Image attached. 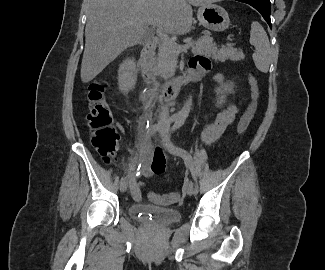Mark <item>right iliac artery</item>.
Masks as SVG:
<instances>
[{
    "label": "right iliac artery",
    "mask_w": 325,
    "mask_h": 270,
    "mask_svg": "<svg viewBox=\"0 0 325 270\" xmlns=\"http://www.w3.org/2000/svg\"><path fill=\"white\" fill-rule=\"evenodd\" d=\"M175 120H176V118L172 116V117H170L166 121V124H170V123H172ZM160 128H161V125L160 124H154V125H152L151 127H149V129L147 131L148 136H151V135L155 134ZM132 164H130V166ZM125 180H126V178L125 177H122L121 180H120V183H123Z\"/></svg>",
    "instance_id": "obj_1"
}]
</instances>
